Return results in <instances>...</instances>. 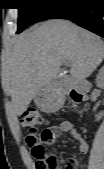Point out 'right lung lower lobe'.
I'll list each match as a JSON object with an SVG mask.
<instances>
[{"instance_id":"right-lung-lower-lobe-1","label":"right lung lower lobe","mask_w":104,"mask_h":169,"mask_svg":"<svg viewBox=\"0 0 104 169\" xmlns=\"http://www.w3.org/2000/svg\"><path fill=\"white\" fill-rule=\"evenodd\" d=\"M56 18L69 19L104 37V0H76L51 17Z\"/></svg>"}]
</instances>
